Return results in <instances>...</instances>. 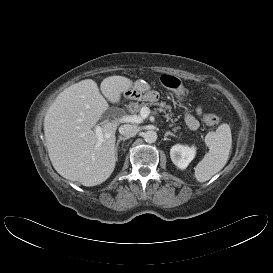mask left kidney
<instances>
[{"instance_id": "left-kidney-1", "label": "left kidney", "mask_w": 273, "mask_h": 273, "mask_svg": "<svg viewBox=\"0 0 273 273\" xmlns=\"http://www.w3.org/2000/svg\"><path fill=\"white\" fill-rule=\"evenodd\" d=\"M196 153V147L187 145H174L170 150L172 162L180 169H185L193 160Z\"/></svg>"}]
</instances>
